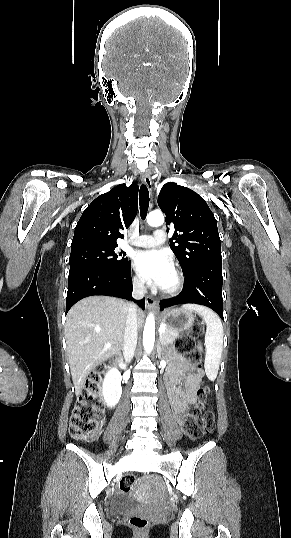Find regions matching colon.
I'll return each instance as SVG.
<instances>
[{"instance_id": "colon-1", "label": "colon", "mask_w": 291, "mask_h": 538, "mask_svg": "<svg viewBox=\"0 0 291 538\" xmlns=\"http://www.w3.org/2000/svg\"><path fill=\"white\" fill-rule=\"evenodd\" d=\"M201 332L202 326L196 324L187 335L177 338L174 343L178 351L198 368L202 367V361L195 340ZM108 371L106 365H101L95 368L87 378L70 418V433L73 437L88 441H93L98 437L103 415V403L100 397L101 382ZM209 392V387L202 383L197 393L198 403L187 412L185 417V427L194 438L202 437L214 427L213 414L209 411L203 412ZM133 484L134 477L125 475L120 481V489L128 493ZM129 524L138 535L145 534L149 527L148 519L141 515L130 516Z\"/></svg>"}]
</instances>
